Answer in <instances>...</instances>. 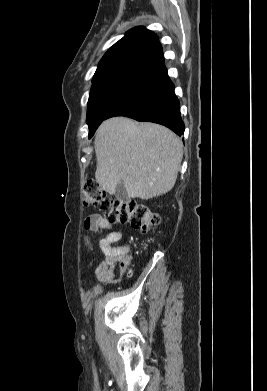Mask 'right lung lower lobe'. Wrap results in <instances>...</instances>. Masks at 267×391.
Returning a JSON list of instances; mask_svg holds the SVG:
<instances>
[{
    "mask_svg": "<svg viewBox=\"0 0 267 391\" xmlns=\"http://www.w3.org/2000/svg\"><path fill=\"white\" fill-rule=\"evenodd\" d=\"M114 116H127L138 121L158 123L179 136L184 132L179 100L166 69L122 101L107 118Z\"/></svg>",
    "mask_w": 267,
    "mask_h": 391,
    "instance_id": "1",
    "label": "right lung lower lobe"
}]
</instances>
